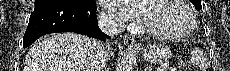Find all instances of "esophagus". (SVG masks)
<instances>
[{"label": "esophagus", "instance_id": "34e87169", "mask_svg": "<svg viewBox=\"0 0 230 71\" xmlns=\"http://www.w3.org/2000/svg\"><path fill=\"white\" fill-rule=\"evenodd\" d=\"M123 43L130 47V48H138L139 45L136 43V41L134 40V38L130 37V36H125L123 38Z\"/></svg>", "mask_w": 230, "mask_h": 71}]
</instances>
